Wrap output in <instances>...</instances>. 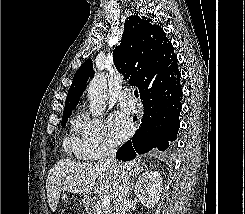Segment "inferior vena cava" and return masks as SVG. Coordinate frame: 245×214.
<instances>
[{"instance_id":"1","label":"inferior vena cava","mask_w":245,"mask_h":214,"mask_svg":"<svg viewBox=\"0 0 245 214\" xmlns=\"http://www.w3.org/2000/svg\"><path fill=\"white\" fill-rule=\"evenodd\" d=\"M98 164L100 167H105L116 174L117 181L114 193V207L116 214H125L129 202L130 189V176L127 172V165L117 161L114 148L112 145L105 142L100 148Z\"/></svg>"}]
</instances>
